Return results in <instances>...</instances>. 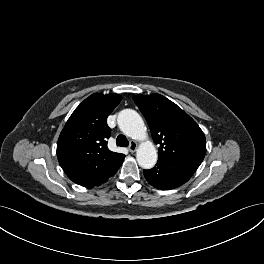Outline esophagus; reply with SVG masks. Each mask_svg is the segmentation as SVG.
<instances>
[{"label":"esophagus","mask_w":264,"mask_h":264,"mask_svg":"<svg viewBox=\"0 0 264 264\" xmlns=\"http://www.w3.org/2000/svg\"><path fill=\"white\" fill-rule=\"evenodd\" d=\"M137 146L138 145L135 141H131L128 149L131 153H134L137 150Z\"/></svg>","instance_id":"obj_1"}]
</instances>
